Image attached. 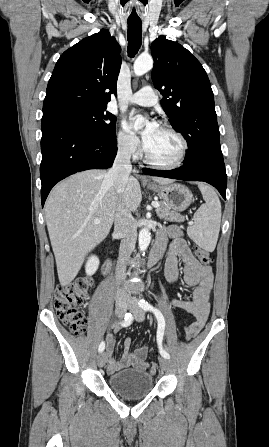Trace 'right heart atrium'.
<instances>
[{"label": "right heart atrium", "instance_id": "d8ad5b80", "mask_svg": "<svg viewBox=\"0 0 269 447\" xmlns=\"http://www.w3.org/2000/svg\"><path fill=\"white\" fill-rule=\"evenodd\" d=\"M116 141L119 149L128 156L138 157L142 152L140 140L123 128L118 131Z\"/></svg>", "mask_w": 269, "mask_h": 447}]
</instances>
